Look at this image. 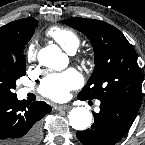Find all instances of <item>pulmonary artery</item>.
Here are the masks:
<instances>
[{"label":"pulmonary artery","instance_id":"e3ab8cb5","mask_svg":"<svg viewBox=\"0 0 145 145\" xmlns=\"http://www.w3.org/2000/svg\"><path fill=\"white\" fill-rule=\"evenodd\" d=\"M74 52H75V50H70L69 51L70 54H73ZM28 92H30V89H28V88H23V89L20 90V93H21L22 96L27 95ZM98 104H99V102H98Z\"/></svg>","mask_w":145,"mask_h":145}]
</instances>
